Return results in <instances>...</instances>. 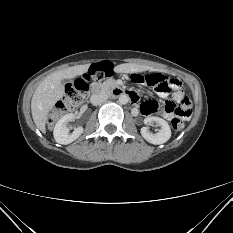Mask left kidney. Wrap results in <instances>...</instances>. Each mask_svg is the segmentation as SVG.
<instances>
[{"instance_id": "left-kidney-1", "label": "left kidney", "mask_w": 233, "mask_h": 233, "mask_svg": "<svg viewBox=\"0 0 233 233\" xmlns=\"http://www.w3.org/2000/svg\"><path fill=\"white\" fill-rule=\"evenodd\" d=\"M155 122L159 129L156 133H151L148 127L144 126L141 128L142 137L151 144L159 145L167 142L171 137V129L168 122L159 117H146L144 123L150 124Z\"/></svg>"}]
</instances>
